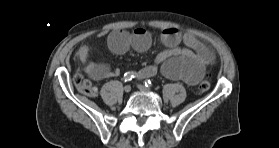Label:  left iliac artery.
<instances>
[{"label":"left iliac artery","mask_w":279,"mask_h":148,"mask_svg":"<svg viewBox=\"0 0 279 148\" xmlns=\"http://www.w3.org/2000/svg\"><path fill=\"white\" fill-rule=\"evenodd\" d=\"M152 85L151 81L150 80H146L145 81V86L146 87H150Z\"/></svg>","instance_id":"left-iliac-artery-1"}]
</instances>
